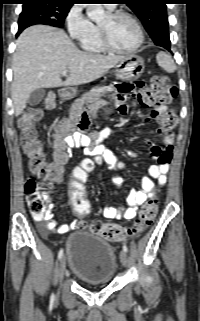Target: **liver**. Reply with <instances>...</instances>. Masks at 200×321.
Listing matches in <instances>:
<instances>
[{"instance_id": "liver-1", "label": "liver", "mask_w": 200, "mask_h": 321, "mask_svg": "<svg viewBox=\"0 0 200 321\" xmlns=\"http://www.w3.org/2000/svg\"><path fill=\"white\" fill-rule=\"evenodd\" d=\"M123 58L83 52L61 29L45 25L25 29L16 41L12 62L15 115L22 113L34 90L93 82ZM63 71L69 72L64 82Z\"/></svg>"}]
</instances>
